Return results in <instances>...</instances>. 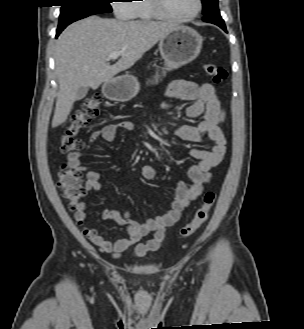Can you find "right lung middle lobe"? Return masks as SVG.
<instances>
[{
    "label": "right lung middle lobe",
    "mask_w": 304,
    "mask_h": 329,
    "mask_svg": "<svg viewBox=\"0 0 304 329\" xmlns=\"http://www.w3.org/2000/svg\"><path fill=\"white\" fill-rule=\"evenodd\" d=\"M61 12L58 28L98 13H110V0H60Z\"/></svg>",
    "instance_id": "right-lung-middle-lobe-1"
}]
</instances>
